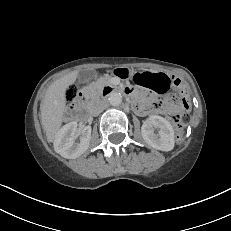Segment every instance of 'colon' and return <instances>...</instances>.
I'll return each mask as SVG.
<instances>
[{"label": "colon", "mask_w": 231, "mask_h": 231, "mask_svg": "<svg viewBox=\"0 0 231 231\" xmlns=\"http://www.w3.org/2000/svg\"><path fill=\"white\" fill-rule=\"evenodd\" d=\"M176 84L179 85L180 82L177 80ZM77 93H78L77 88H75V87L70 88L67 91V98L69 100H72L76 97ZM177 102H178V106H182L185 109L188 108V100L185 96L179 97ZM172 121H173V124H174L175 129H176V140H177V142H181L183 140V136H184L185 118L183 116L173 115Z\"/></svg>", "instance_id": "5ec220e1"}]
</instances>
